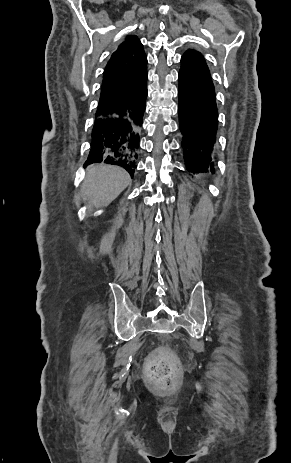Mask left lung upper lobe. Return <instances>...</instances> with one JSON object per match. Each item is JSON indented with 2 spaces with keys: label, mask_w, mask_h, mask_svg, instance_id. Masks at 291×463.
<instances>
[{
  "label": "left lung upper lobe",
  "mask_w": 291,
  "mask_h": 463,
  "mask_svg": "<svg viewBox=\"0 0 291 463\" xmlns=\"http://www.w3.org/2000/svg\"><path fill=\"white\" fill-rule=\"evenodd\" d=\"M181 69L191 70L211 77L203 55L192 49L187 50L181 57Z\"/></svg>",
  "instance_id": "5c2ea615"
}]
</instances>
